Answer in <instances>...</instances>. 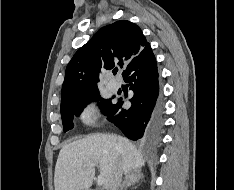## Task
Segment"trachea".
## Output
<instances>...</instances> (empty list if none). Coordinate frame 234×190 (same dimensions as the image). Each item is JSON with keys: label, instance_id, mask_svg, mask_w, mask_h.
I'll use <instances>...</instances> for the list:
<instances>
[{"label": "trachea", "instance_id": "obj_1", "mask_svg": "<svg viewBox=\"0 0 234 190\" xmlns=\"http://www.w3.org/2000/svg\"><path fill=\"white\" fill-rule=\"evenodd\" d=\"M118 72V69L113 70V74L116 75Z\"/></svg>", "mask_w": 234, "mask_h": 190}]
</instances>
